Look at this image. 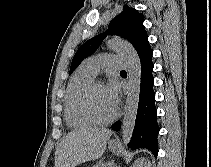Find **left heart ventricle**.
Instances as JSON below:
<instances>
[{
  "instance_id": "obj_1",
  "label": "left heart ventricle",
  "mask_w": 211,
  "mask_h": 167,
  "mask_svg": "<svg viewBox=\"0 0 211 167\" xmlns=\"http://www.w3.org/2000/svg\"><path fill=\"white\" fill-rule=\"evenodd\" d=\"M90 105L94 114L101 119L109 118L115 112L105 94L104 86L101 84L94 87L90 97Z\"/></svg>"
}]
</instances>
